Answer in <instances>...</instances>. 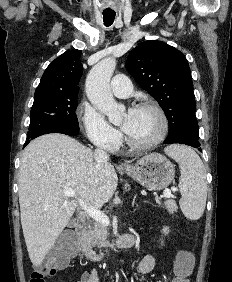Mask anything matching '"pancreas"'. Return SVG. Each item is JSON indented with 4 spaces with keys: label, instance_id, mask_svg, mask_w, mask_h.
<instances>
[{
    "label": "pancreas",
    "instance_id": "obj_1",
    "mask_svg": "<svg viewBox=\"0 0 232 282\" xmlns=\"http://www.w3.org/2000/svg\"><path fill=\"white\" fill-rule=\"evenodd\" d=\"M165 208L168 210L170 214H173L177 211L178 207L173 199H169L165 202ZM88 239L90 240L93 246L97 248L106 247L108 244V227L100 222H93L86 232Z\"/></svg>",
    "mask_w": 232,
    "mask_h": 282
}]
</instances>
